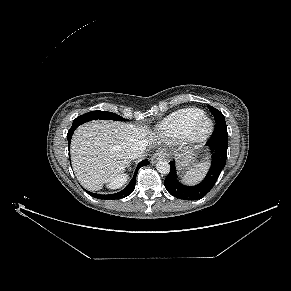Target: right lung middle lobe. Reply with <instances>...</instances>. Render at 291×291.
<instances>
[{
  "instance_id": "right-lung-middle-lobe-1",
  "label": "right lung middle lobe",
  "mask_w": 291,
  "mask_h": 291,
  "mask_svg": "<svg viewBox=\"0 0 291 291\" xmlns=\"http://www.w3.org/2000/svg\"><path fill=\"white\" fill-rule=\"evenodd\" d=\"M98 119H100V120L110 119V120H114V121H119V120L127 121L126 119H124L123 117H121L115 113L97 110V111H91V112H88V113L83 114L81 116H78L73 121V123L81 125L85 122H88L91 120H98Z\"/></svg>"
}]
</instances>
